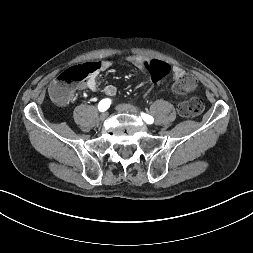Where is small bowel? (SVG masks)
<instances>
[{"label": "small bowel", "instance_id": "c3829d8e", "mask_svg": "<svg viewBox=\"0 0 253 253\" xmlns=\"http://www.w3.org/2000/svg\"><path fill=\"white\" fill-rule=\"evenodd\" d=\"M128 61L137 69L144 71L146 69L150 70L151 63L156 60L150 59L145 56L135 55L128 57ZM95 64L97 65L96 70L88 77V79L84 83L78 86L79 90L89 89L95 91L98 87L97 74L99 72L107 71L112 66V62L109 60H103L100 62H96ZM172 73L173 77L177 79L184 73V70L179 66H174L172 68ZM104 93L108 97H114L117 94V89L114 85L109 84L105 86Z\"/></svg>", "mask_w": 253, "mask_h": 253}]
</instances>
